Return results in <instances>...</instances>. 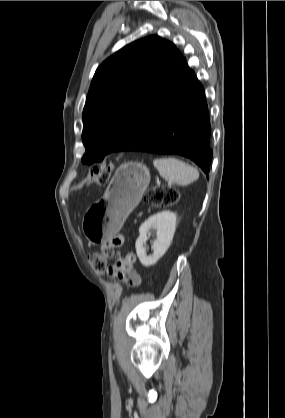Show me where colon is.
<instances>
[{"instance_id":"5ec220e1","label":"colon","mask_w":285,"mask_h":418,"mask_svg":"<svg viewBox=\"0 0 285 418\" xmlns=\"http://www.w3.org/2000/svg\"><path fill=\"white\" fill-rule=\"evenodd\" d=\"M111 167L95 168L91 174V179L95 180L99 185L105 186L109 182V172ZM145 200L153 207H166L175 205L179 200V192L168 188L164 184H160L150 188L145 193ZM112 256L110 248H104L91 253L88 257L92 267L99 273L108 270V260ZM130 262H134V256L130 255Z\"/></svg>"}]
</instances>
